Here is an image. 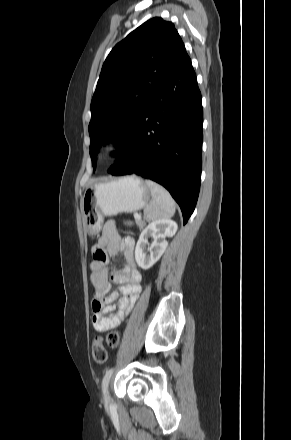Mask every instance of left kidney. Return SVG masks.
<instances>
[{"label":"left kidney","mask_w":291,"mask_h":440,"mask_svg":"<svg viewBox=\"0 0 291 440\" xmlns=\"http://www.w3.org/2000/svg\"><path fill=\"white\" fill-rule=\"evenodd\" d=\"M177 223L171 219H157L149 223L141 232L135 248V260L144 270L151 268L165 252L168 242L177 231ZM152 244L147 247L148 239Z\"/></svg>","instance_id":"obj_1"}]
</instances>
